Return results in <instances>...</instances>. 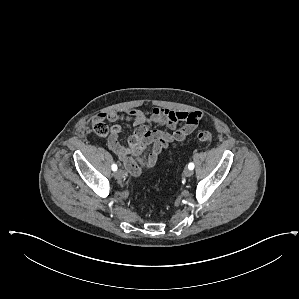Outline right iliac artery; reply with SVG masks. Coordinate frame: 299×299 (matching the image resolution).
Here are the masks:
<instances>
[{
	"label": "right iliac artery",
	"instance_id": "obj_1",
	"mask_svg": "<svg viewBox=\"0 0 299 299\" xmlns=\"http://www.w3.org/2000/svg\"><path fill=\"white\" fill-rule=\"evenodd\" d=\"M112 170H113V171H116V170H117V165H116V164H113V165H112Z\"/></svg>",
	"mask_w": 299,
	"mask_h": 299
}]
</instances>
